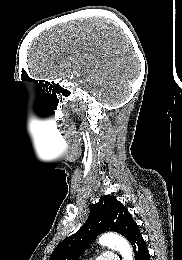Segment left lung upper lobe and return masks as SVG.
Masks as SVG:
<instances>
[{
  "instance_id": "1",
  "label": "left lung upper lobe",
  "mask_w": 182,
  "mask_h": 260,
  "mask_svg": "<svg viewBox=\"0 0 182 260\" xmlns=\"http://www.w3.org/2000/svg\"><path fill=\"white\" fill-rule=\"evenodd\" d=\"M137 226L127 208L112 196H102L90 207L84 225L55 248L49 260H78L96 237L104 231H114L128 238Z\"/></svg>"
}]
</instances>
